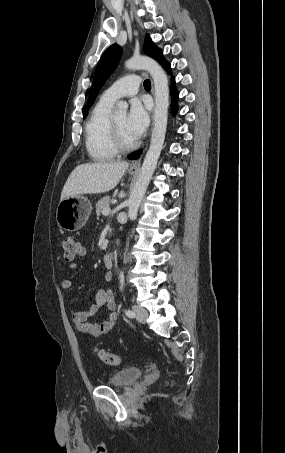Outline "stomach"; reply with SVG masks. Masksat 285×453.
Listing matches in <instances>:
<instances>
[{
    "label": "stomach",
    "instance_id": "1",
    "mask_svg": "<svg viewBox=\"0 0 285 453\" xmlns=\"http://www.w3.org/2000/svg\"><path fill=\"white\" fill-rule=\"evenodd\" d=\"M130 174L135 171L129 170ZM92 211L91 202L80 195L61 200L56 210L58 226L69 232L81 229L87 222Z\"/></svg>",
    "mask_w": 285,
    "mask_h": 453
}]
</instances>
